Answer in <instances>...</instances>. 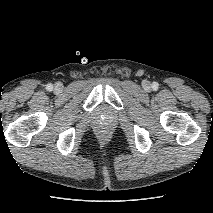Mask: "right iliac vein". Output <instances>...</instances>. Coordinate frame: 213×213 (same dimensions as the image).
Masks as SVG:
<instances>
[{
  "instance_id": "right-iliac-vein-1",
  "label": "right iliac vein",
  "mask_w": 213,
  "mask_h": 213,
  "mask_svg": "<svg viewBox=\"0 0 213 213\" xmlns=\"http://www.w3.org/2000/svg\"><path fill=\"white\" fill-rule=\"evenodd\" d=\"M61 89H62L61 84H57V85L55 86V91L59 92Z\"/></svg>"
}]
</instances>
